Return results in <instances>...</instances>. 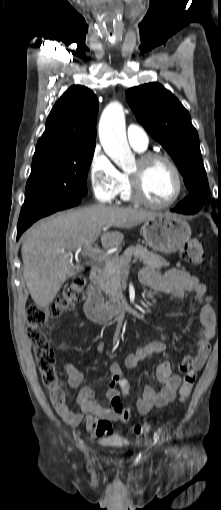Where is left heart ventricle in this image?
Returning a JSON list of instances; mask_svg holds the SVG:
<instances>
[{"instance_id": "obj_1", "label": "left heart ventricle", "mask_w": 221, "mask_h": 510, "mask_svg": "<svg viewBox=\"0 0 221 510\" xmlns=\"http://www.w3.org/2000/svg\"><path fill=\"white\" fill-rule=\"evenodd\" d=\"M139 170L138 161L129 172ZM142 190L144 195L156 202L170 200L176 193L177 180L174 172L163 161H155L148 165L142 176Z\"/></svg>"}]
</instances>
